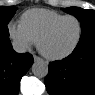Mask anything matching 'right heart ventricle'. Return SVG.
<instances>
[{
  "label": "right heart ventricle",
  "mask_w": 95,
  "mask_h": 95,
  "mask_svg": "<svg viewBox=\"0 0 95 95\" xmlns=\"http://www.w3.org/2000/svg\"><path fill=\"white\" fill-rule=\"evenodd\" d=\"M63 16V14L53 10L34 8L22 14L20 24L34 42H37L42 32Z\"/></svg>",
  "instance_id": "e07e8e85"
}]
</instances>
